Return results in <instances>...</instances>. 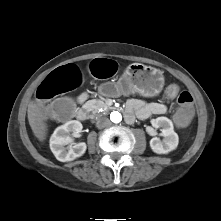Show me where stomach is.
I'll return each mask as SVG.
<instances>
[{
    "label": "stomach",
    "instance_id": "stomach-1",
    "mask_svg": "<svg viewBox=\"0 0 221 221\" xmlns=\"http://www.w3.org/2000/svg\"><path fill=\"white\" fill-rule=\"evenodd\" d=\"M110 84L114 95L139 94L153 97L162 91L164 76L159 69L141 63H132L117 81Z\"/></svg>",
    "mask_w": 221,
    "mask_h": 221
}]
</instances>
